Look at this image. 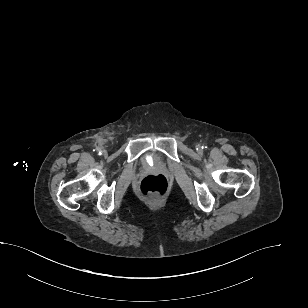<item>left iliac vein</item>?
I'll return each instance as SVG.
<instances>
[{
	"label": "left iliac vein",
	"mask_w": 308,
	"mask_h": 308,
	"mask_svg": "<svg viewBox=\"0 0 308 308\" xmlns=\"http://www.w3.org/2000/svg\"><path fill=\"white\" fill-rule=\"evenodd\" d=\"M197 149H198L199 151H201L200 146H197Z\"/></svg>",
	"instance_id": "4c4485c4"
}]
</instances>
